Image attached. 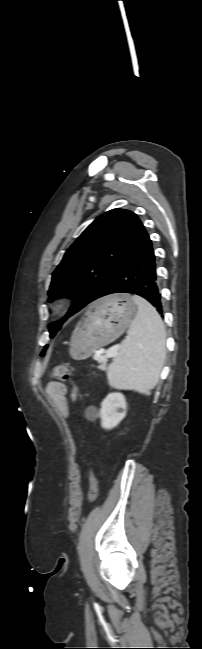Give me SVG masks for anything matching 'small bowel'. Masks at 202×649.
<instances>
[{
  "label": "small bowel",
  "mask_w": 202,
  "mask_h": 649,
  "mask_svg": "<svg viewBox=\"0 0 202 649\" xmlns=\"http://www.w3.org/2000/svg\"><path fill=\"white\" fill-rule=\"evenodd\" d=\"M46 393L51 400L52 405L61 413L62 416L67 417L69 414V403L67 398V389L64 384L51 381L46 386ZM76 392H71V397L75 398ZM94 410V409H92Z\"/></svg>",
  "instance_id": "1"
}]
</instances>
